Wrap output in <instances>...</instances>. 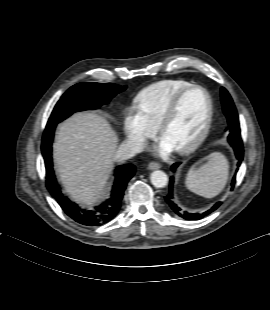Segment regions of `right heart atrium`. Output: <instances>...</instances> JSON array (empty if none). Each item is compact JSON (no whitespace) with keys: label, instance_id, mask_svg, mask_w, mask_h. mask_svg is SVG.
I'll return each mask as SVG.
<instances>
[{"label":"right heart atrium","instance_id":"obj_1","mask_svg":"<svg viewBox=\"0 0 270 310\" xmlns=\"http://www.w3.org/2000/svg\"><path fill=\"white\" fill-rule=\"evenodd\" d=\"M123 129L127 139L137 146H141L156 132V126L148 120L136 103L126 107L123 114Z\"/></svg>","mask_w":270,"mask_h":310}]
</instances>
